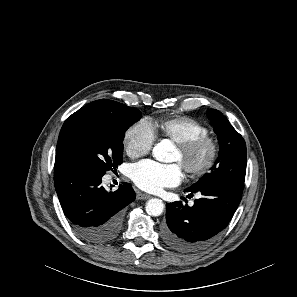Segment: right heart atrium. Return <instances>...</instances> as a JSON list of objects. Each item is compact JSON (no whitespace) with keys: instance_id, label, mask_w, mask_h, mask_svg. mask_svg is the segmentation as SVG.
I'll list each match as a JSON object with an SVG mask.
<instances>
[{"instance_id":"1","label":"right heart atrium","mask_w":297,"mask_h":297,"mask_svg":"<svg viewBox=\"0 0 297 297\" xmlns=\"http://www.w3.org/2000/svg\"><path fill=\"white\" fill-rule=\"evenodd\" d=\"M155 141L151 124L141 120L127 129L124 135V148L131 158H139L150 152Z\"/></svg>"}]
</instances>
